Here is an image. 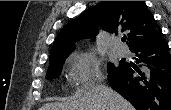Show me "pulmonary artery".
Here are the masks:
<instances>
[{"instance_id": "pulmonary-artery-1", "label": "pulmonary artery", "mask_w": 171, "mask_h": 110, "mask_svg": "<svg viewBox=\"0 0 171 110\" xmlns=\"http://www.w3.org/2000/svg\"><path fill=\"white\" fill-rule=\"evenodd\" d=\"M120 46H121V41H120L119 39H116V40L114 41V43H113L112 49H113V52H114L117 56L122 57V56L125 55V50L122 49V48H120Z\"/></svg>"}]
</instances>
